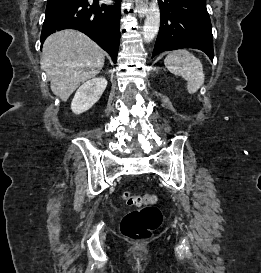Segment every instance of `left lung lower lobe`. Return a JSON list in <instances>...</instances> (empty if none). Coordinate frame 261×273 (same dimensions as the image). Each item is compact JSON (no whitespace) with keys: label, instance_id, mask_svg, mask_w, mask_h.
Segmentation results:
<instances>
[{"label":"left lung lower lobe","instance_id":"1","mask_svg":"<svg viewBox=\"0 0 261 273\" xmlns=\"http://www.w3.org/2000/svg\"><path fill=\"white\" fill-rule=\"evenodd\" d=\"M160 29L152 57L180 48L202 50L213 60V36L206 0L159 2Z\"/></svg>","mask_w":261,"mask_h":273}]
</instances>
